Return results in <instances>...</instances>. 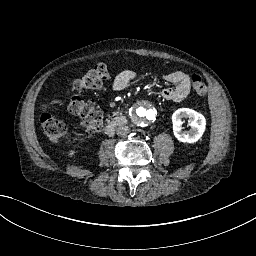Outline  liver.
<instances>
[{
  "label": "liver",
  "mask_w": 256,
  "mask_h": 256,
  "mask_svg": "<svg viewBox=\"0 0 256 256\" xmlns=\"http://www.w3.org/2000/svg\"><path fill=\"white\" fill-rule=\"evenodd\" d=\"M39 107L42 113H47L50 108V104L48 102H40Z\"/></svg>",
  "instance_id": "1"
}]
</instances>
